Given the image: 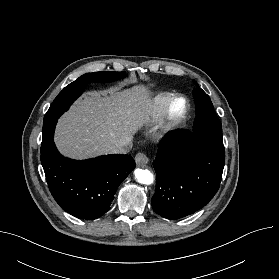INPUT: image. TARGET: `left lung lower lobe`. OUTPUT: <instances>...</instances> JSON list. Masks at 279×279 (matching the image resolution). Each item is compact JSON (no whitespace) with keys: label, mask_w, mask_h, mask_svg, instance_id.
I'll use <instances>...</instances> for the list:
<instances>
[{"label":"left lung lower lobe","mask_w":279,"mask_h":279,"mask_svg":"<svg viewBox=\"0 0 279 279\" xmlns=\"http://www.w3.org/2000/svg\"><path fill=\"white\" fill-rule=\"evenodd\" d=\"M224 162V149L198 135L179 129L168 132L153 162V210L175 220L201 209L218 191Z\"/></svg>","instance_id":"0a47b994"}]
</instances>
